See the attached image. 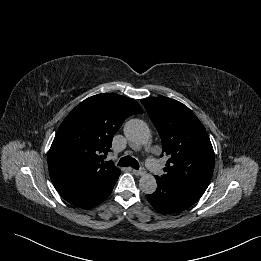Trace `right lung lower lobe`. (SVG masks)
<instances>
[{"instance_id":"1","label":"right lung lower lobe","mask_w":261,"mask_h":261,"mask_svg":"<svg viewBox=\"0 0 261 261\" xmlns=\"http://www.w3.org/2000/svg\"><path fill=\"white\" fill-rule=\"evenodd\" d=\"M120 175V174H119ZM119 175H117L112 181H110L108 184H106L104 187H102L99 191L88 195L86 197H82L79 199H75L73 201H70L74 206L89 209L92 207L97 206L98 204L102 203L112 192L113 186L115 182L117 181Z\"/></svg>"}]
</instances>
